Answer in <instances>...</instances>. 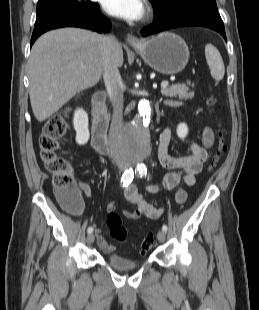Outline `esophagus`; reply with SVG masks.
Wrapping results in <instances>:
<instances>
[{"instance_id": "34e87169", "label": "esophagus", "mask_w": 259, "mask_h": 310, "mask_svg": "<svg viewBox=\"0 0 259 310\" xmlns=\"http://www.w3.org/2000/svg\"><path fill=\"white\" fill-rule=\"evenodd\" d=\"M126 40H127V43H128L131 47H134V48L140 46V44H141L140 40H139L137 37L132 36V35H130V34H128Z\"/></svg>"}]
</instances>
